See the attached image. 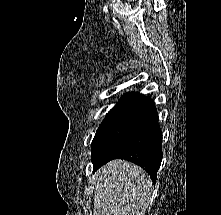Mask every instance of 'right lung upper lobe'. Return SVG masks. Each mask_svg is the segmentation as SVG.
<instances>
[{
  "label": "right lung upper lobe",
  "mask_w": 221,
  "mask_h": 215,
  "mask_svg": "<svg viewBox=\"0 0 221 215\" xmlns=\"http://www.w3.org/2000/svg\"><path fill=\"white\" fill-rule=\"evenodd\" d=\"M142 95L140 93H127L125 94L122 98L121 101H133L139 97H141Z\"/></svg>",
  "instance_id": "right-lung-upper-lobe-1"
}]
</instances>
